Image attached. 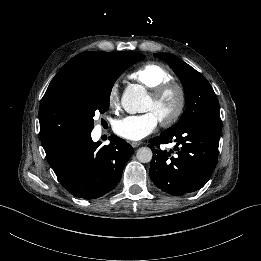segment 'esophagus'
I'll list each match as a JSON object with an SVG mask.
<instances>
[{
  "label": "esophagus",
  "instance_id": "1",
  "mask_svg": "<svg viewBox=\"0 0 261 261\" xmlns=\"http://www.w3.org/2000/svg\"><path fill=\"white\" fill-rule=\"evenodd\" d=\"M131 145H132L134 148H136V147H138V146L141 145V141H133V142L131 143Z\"/></svg>",
  "mask_w": 261,
  "mask_h": 261
}]
</instances>
